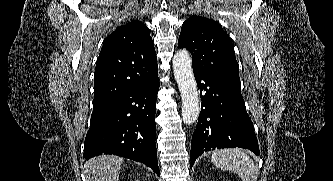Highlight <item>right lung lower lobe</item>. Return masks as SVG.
Instances as JSON below:
<instances>
[{"label":"right lung lower lobe","mask_w":333,"mask_h":181,"mask_svg":"<svg viewBox=\"0 0 333 181\" xmlns=\"http://www.w3.org/2000/svg\"><path fill=\"white\" fill-rule=\"evenodd\" d=\"M159 79L93 108L83 158L114 154L142 162L159 175L155 107Z\"/></svg>","instance_id":"obj_1"}]
</instances>
